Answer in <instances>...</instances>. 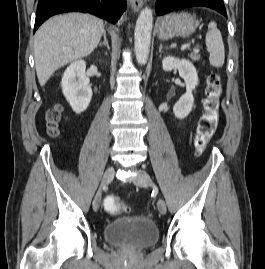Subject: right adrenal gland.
<instances>
[{"mask_svg":"<svg viewBox=\"0 0 265 269\" xmlns=\"http://www.w3.org/2000/svg\"><path fill=\"white\" fill-rule=\"evenodd\" d=\"M103 39L104 40L99 43V46L100 47L101 46H106L108 48V50H109L110 48H109L108 40H107V37H106V31L103 32Z\"/></svg>","mask_w":265,"mask_h":269,"instance_id":"2a0ac1e0","label":"right adrenal gland"}]
</instances>
